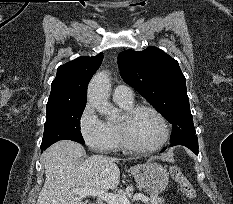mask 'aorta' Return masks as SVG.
Instances as JSON below:
<instances>
[{
  "mask_svg": "<svg viewBox=\"0 0 233 204\" xmlns=\"http://www.w3.org/2000/svg\"><path fill=\"white\" fill-rule=\"evenodd\" d=\"M110 79L108 72H98L88 85L87 99L101 115L111 120L116 118L117 109L109 102Z\"/></svg>",
  "mask_w": 233,
  "mask_h": 204,
  "instance_id": "762f6f07",
  "label": "aorta"
}]
</instances>
